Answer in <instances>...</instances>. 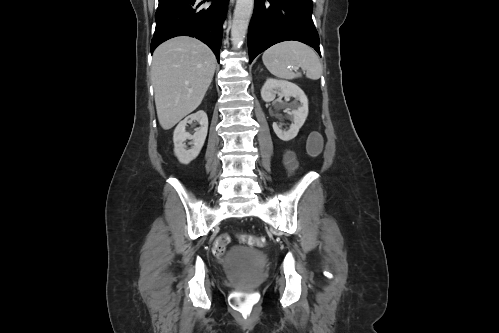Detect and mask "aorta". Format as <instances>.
<instances>
[{"label": "aorta", "mask_w": 499, "mask_h": 333, "mask_svg": "<svg viewBox=\"0 0 499 333\" xmlns=\"http://www.w3.org/2000/svg\"><path fill=\"white\" fill-rule=\"evenodd\" d=\"M254 0H237L231 26V40L234 48H239L246 36L253 11Z\"/></svg>", "instance_id": "762f6f07"}]
</instances>
